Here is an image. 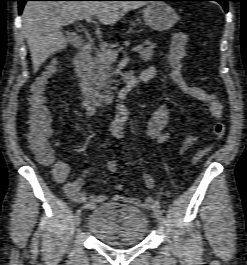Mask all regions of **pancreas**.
Here are the masks:
<instances>
[{
  "instance_id": "obj_1",
  "label": "pancreas",
  "mask_w": 247,
  "mask_h": 265,
  "mask_svg": "<svg viewBox=\"0 0 247 265\" xmlns=\"http://www.w3.org/2000/svg\"><path fill=\"white\" fill-rule=\"evenodd\" d=\"M155 43H151L150 46L145 49L140 50V59L142 61H149L154 56V49L156 48ZM113 53H118V50L108 49ZM113 61L108 59L102 50L96 51V57L94 58V62L92 65V74L95 80V84L98 89L109 91L113 89L111 85L115 80L112 79L113 71L112 65Z\"/></svg>"
}]
</instances>
